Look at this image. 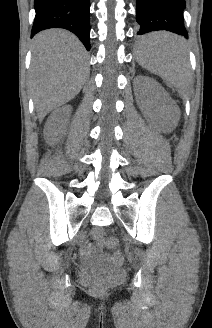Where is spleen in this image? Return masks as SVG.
Wrapping results in <instances>:
<instances>
[{"instance_id":"3e777b00","label":"spleen","mask_w":212,"mask_h":328,"mask_svg":"<svg viewBox=\"0 0 212 328\" xmlns=\"http://www.w3.org/2000/svg\"><path fill=\"white\" fill-rule=\"evenodd\" d=\"M149 46L139 45L138 63L159 75L170 87L183 91L190 85V69L183 39L177 35L159 32L146 37Z\"/></svg>"}]
</instances>
